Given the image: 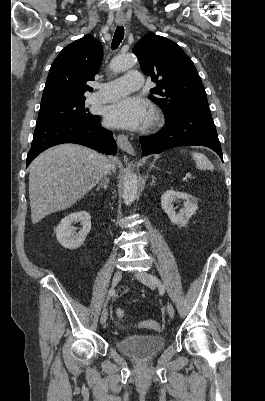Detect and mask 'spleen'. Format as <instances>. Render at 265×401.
Wrapping results in <instances>:
<instances>
[{"instance_id":"3e777b00","label":"spleen","mask_w":265,"mask_h":401,"mask_svg":"<svg viewBox=\"0 0 265 401\" xmlns=\"http://www.w3.org/2000/svg\"><path fill=\"white\" fill-rule=\"evenodd\" d=\"M192 156L196 162V168H200V170H203V168L213 170L214 166L211 164L210 160H208L205 154H202V152H192Z\"/></svg>"}]
</instances>
